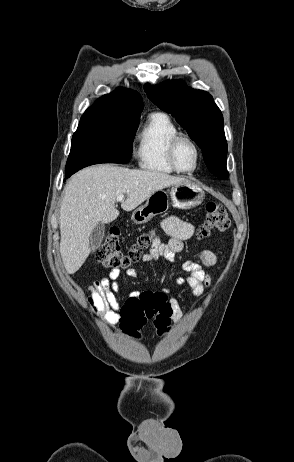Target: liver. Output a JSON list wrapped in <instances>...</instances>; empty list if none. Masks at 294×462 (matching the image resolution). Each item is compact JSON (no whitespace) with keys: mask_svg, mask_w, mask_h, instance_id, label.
I'll use <instances>...</instances> for the list:
<instances>
[{"mask_svg":"<svg viewBox=\"0 0 294 462\" xmlns=\"http://www.w3.org/2000/svg\"><path fill=\"white\" fill-rule=\"evenodd\" d=\"M158 171L132 170L114 165L87 167L71 177L60 207V253L66 271L73 274L90 254L89 237L98 223L119 216L116 198L126 195L121 208L131 211L153 193L183 182Z\"/></svg>","mask_w":294,"mask_h":462,"instance_id":"obj_1","label":"liver"}]
</instances>
